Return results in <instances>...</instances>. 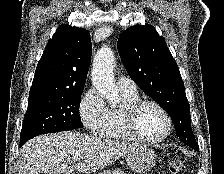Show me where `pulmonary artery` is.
<instances>
[{"instance_id":"obj_1","label":"pulmonary artery","mask_w":224,"mask_h":174,"mask_svg":"<svg viewBox=\"0 0 224 174\" xmlns=\"http://www.w3.org/2000/svg\"><path fill=\"white\" fill-rule=\"evenodd\" d=\"M117 85L122 93L135 95L137 94V86L135 82L127 77H119L117 79Z\"/></svg>"}]
</instances>
